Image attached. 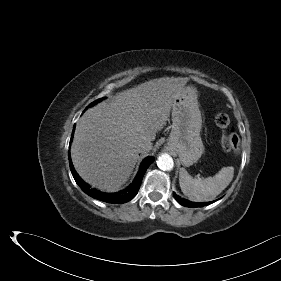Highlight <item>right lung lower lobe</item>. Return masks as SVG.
Returning a JSON list of instances; mask_svg holds the SVG:
<instances>
[{
    "mask_svg": "<svg viewBox=\"0 0 281 281\" xmlns=\"http://www.w3.org/2000/svg\"><path fill=\"white\" fill-rule=\"evenodd\" d=\"M75 128V126H74ZM74 134V129L72 132V136ZM71 144V141H70ZM154 161L153 157H148L146 158L141 166H140V170L137 174V176L135 177L133 183L127 187L126 189L116 192V193H105V192H101L97 189L91 188V186L89 184H87L85 181H83L80 176L76 173L73 164L71 162V157L69 154V164H70V169L71 172L73 174V177L76 181V183L80 186V188L89 196H91L94 199L103 201V202H107V203H125L130 201L132 198H134V196L138 193V190L140 188L143 176L145 171L147 170V168L149 167V165Z\"/></svg>",
    "mask_w": 281,
    "mask_h": 281,
    "instance_id": "1",
    "label": "right lung lower lobe"
}]
</instances>
